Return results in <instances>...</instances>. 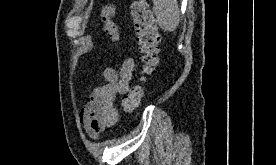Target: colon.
I'll return each instance as SVG.
<instances>
[{
	"label": "colon",
	"mask_w": 276,
	"mask_h": 165,
	"mask_svg": "<svg viewBox=\"0 0 276 165\" xmlns=\"http://www.w3.org/2000/svg\"><path fill=\"white\" fill-rule=\"evenodd\" d=\"M115 6L104 5L100 11L101 21L105 33L113 40L119 39V29L113 20ZM130 15L132 17L140 52L142 76L140 81L133 85L124 94L121 101V109L125 113H132L141 104L144 96L143 82L147 75L153 73L159 53L160 35L154 16L145 0H136L130 4Z\"/></svg>",
	"instance_id": "obj_1"
}]
</instances>
